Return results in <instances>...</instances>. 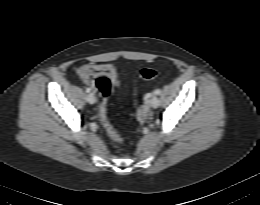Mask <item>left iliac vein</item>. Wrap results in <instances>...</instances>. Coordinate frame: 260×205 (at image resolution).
I'll use <instances>...</instances> for the list:
<instances>
[{"instance_id": "obj_1", "label": "left iliac vein", "mask_w": 260, "mask_h": 205, "mask_svg": "<svg viewBox=\"0 0 260 205\" xmlns=\"http://www.w3.org/2000/svg\"><path fill=\"white\" fill-rule=\"evenodd\" d=\"M159 98L156 95H153L149 101V104L152 108H157L159 106Z\"/></svg>"}]
</instances>
